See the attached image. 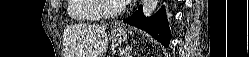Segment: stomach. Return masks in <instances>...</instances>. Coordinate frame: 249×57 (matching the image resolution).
<instances>
[{"label": "stomach", "mask_w": 249, "mask_h": 57, "mask_svg": "<svg viewBox=\"0 0 249 57\" xmlns=\"http://www.w3.org/2000/svg\"><path fill=\"white\" fill-rule=\"evenodd\" d=\"M129 33L131 34V31L125 27H114L111 31V37L115 42L121 43L127 40Z\"/></svg>", "instance_id": "obj_1"}]
</instances>
